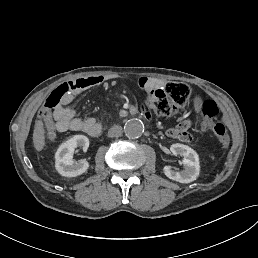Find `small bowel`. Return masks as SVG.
<instances>
[{"label": "small bowel", "instance_id": "small-bowel-1", "mask_svg": "<svg viewBox=\"0 0 258 258\" xmlns=\"http://www.w3.org/2000/svg\"><path fill=\"white\" fill-rule=\"evenodd\" d=\"M116 78L117 77L114 75H93L70 81L75 85L71 98L65 104L58 107L49 118L43 119L41 117L47 138L52 140L55 138L57 131L64 132L69 130L82 131L90 136H97L101 131V124L98 122V120L93 117L86 119L78 117L75 110L71 108L69 104L74 95L93 87H108L111 82L116 80ZM147 84L148 80L146 78L139 79V85L141 87H146ZM201 104V99L195 98L193 105L198 113ZM146 114L148 115V113ZM191 125V121L184 118L180 120L175 127L168 129L166 131V135L183 142H192L193 136L189 133Z\"/></svg>", "mask_w": 258, "mask_h": 258}]
</instances>
